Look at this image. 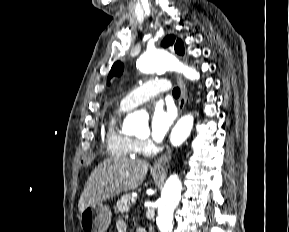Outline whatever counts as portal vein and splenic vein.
I'll use <instances>...</instances> for the list:
<instances>
[{
    "mask_svg": "<svg viewBox=\"0 0 289 232\" xmlns=\"http://www.w3.org/2000/svg\"><path fill=\"white\" fill-rule=\"evenodd\" d=\"M131 202H132L133 204H135V203H136V198L133 197V198L131 199Z\"/></svg>",
    "mask_w": 289,
    "mask_h": 232,
    "instance_id": "1",
    "label": "portal vein and splenic vein"
}]
</instances>
